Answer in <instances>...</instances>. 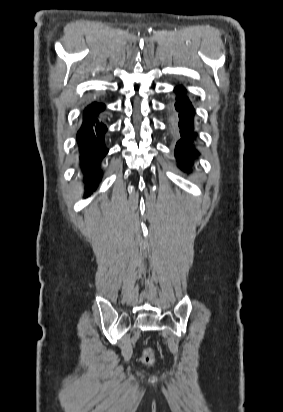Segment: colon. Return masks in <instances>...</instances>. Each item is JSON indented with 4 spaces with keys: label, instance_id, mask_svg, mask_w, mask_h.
Listing matches in <instances>:
<instances>
[{
    "label": "colon",
    "instance_id": "obj_1",
    "mask_svg": "<svg viewBox=\"0 0 283 412\" xmlns=\"http://www.w3.org/2000/svg\"><path fill=\"white\" fill-rule=\"evenodd\" d=\"M154 359V352L151 349H148L144 352L143 361L145 363H151Z\"/></svg>",
    "mask_w": 283,
    "mask_h": 412
}]
</instances>
